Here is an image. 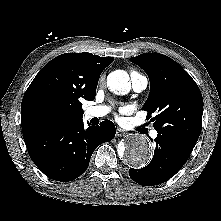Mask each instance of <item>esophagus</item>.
Segmentation results:
<instances>
[{
	"mask_svg": "<svg viewBox=\"0 0 221 221\" xmlns=\"http://www.w3.org/2000/svg\"><path fill=\"white\" fill-rule=\"evenodd\" d=\"M126 133L121 129V128H118L117 130H116V136L117 137H122V136H124Z\"/></svg>",
	"mask_w": 221,
	"mask_h": 221,
	"instance_id": "obj_1",
	"label": "esophagus"
}]
</instances>
